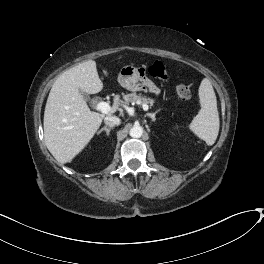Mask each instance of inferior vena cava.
I'll list each match as a JSON object with an SVG mask.
<instances>
[{"label":"inferior vena cava","mask_w":264,"mask_h":264,"mask_svg":"<svg viewBox=\"0 0 264 264\" xmlns=\"http://www.w3.org/2000/svg\"><path fill=\"white\" fill-rule=\"evenodd\" d=\"M104 122L106 125L113 127V126L120 125L121 120L118 117L113 116V117H106L104 119Z\"/></svg>","instance_id":"inferior-vena-cava-1"}]
</instances>
